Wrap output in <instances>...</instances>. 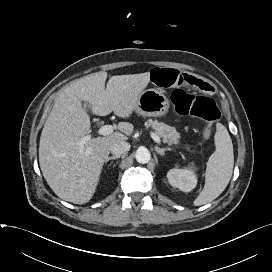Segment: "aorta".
Here are the masks:
<instances>
[{
  "label": "aorta",
  "instance_id": "aorta-1",
  "mask_svg": "<svg viewBox=\"0 0 272 272\" xmlns=\"http://www.w3.org/2000/svg\"><path fill=\"white\" fill-rule=\"evenodd\" d=\"M135 159L138 163L146 164L150 161L151 154L147 148L140 147L137 149L135 153Z\"/></svg>",
  "mask_w": 272,
  "mask_h": 272
}]
</instances>
